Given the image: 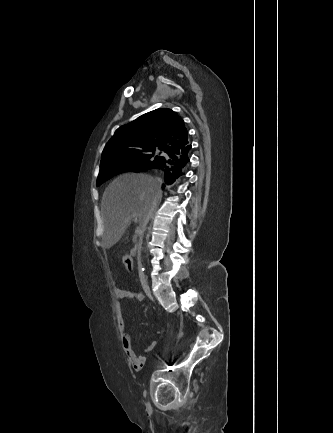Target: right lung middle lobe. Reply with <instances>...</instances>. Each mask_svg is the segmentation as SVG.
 <instances>
[{"instance_id":"dd1d6c3e","label":"right lung middle lobe","mask_w":333,"mask_h":433,"mask_svg":"<svg viewBox=\"0 0 333 433\" xmlns=\"http://www.w3.org/2000/svg\"><path fill=\"white\" fill-rule=\"evenodd\" d=\"M162 159V156L156 154L155 148L130 149L112 154L101 160L97 186L124 171H141L153 168Z\"/></svg>"}]
</instances>
